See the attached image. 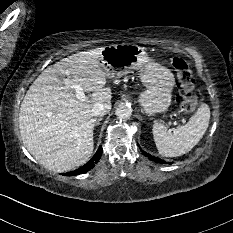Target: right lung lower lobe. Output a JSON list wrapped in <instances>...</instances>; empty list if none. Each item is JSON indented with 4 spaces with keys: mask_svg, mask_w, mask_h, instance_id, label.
Returning <instances> with one entry per match:
<instances>
[{
    "mask_svg": "<svg viewBox=\"0 0 233 233\" xmlns=\"http://www.w3.org/2000/svg\"><path fill=\"white\" fill-rule=\"evenodd\" d=\"M102 150H103L102 147H99L97 152L95 153V155L92 157V159L89 160L84 166L80 167L79 169H77L75 171L64 173L63 175H65V176H74V175H79V174H82V173H85V172L89 171L100 160L101 155H102Z\"/></svg>",
    "mask_w": 233,
    "mask_h": 233,
    "instance_id": "right-lung-lower-lobe-1",
    "label": "right lung lower lobe"
}]
</instances>
